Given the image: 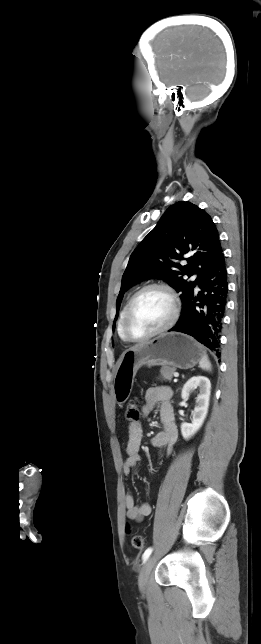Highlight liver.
Instances as JSON below:
<instances>
[{
  "instance_id": "obj_1",
  "label": "liver",
  "mask_w": 261,
  "mask_h": 644,
  "mask_svg": "<svg viewBox=\"0 0 261 644\" xmlns=\"http://www.w3.org/2000/svg\"><path fill=\"white\" fill-rule=\"evenodd\" d=\"M139 346H140V345H139ZM136 347H138V346H135L134 348H136ZM134 348H132V349H134Z\"/></svg>"
}]
</instances>
